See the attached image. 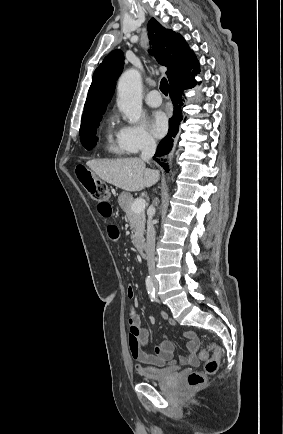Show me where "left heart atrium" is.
Returning a JSON list of instances; mask_svg holds the SVG:
<instances>
[{
  "instance_id": "1",
  "label": "left heart atrium",
  "mask_w": 283,
  "mask_h": 434,
  "mask_svg": "<svg viewBox=\"0 0 283 434\" xmlns=\"http://www.w3.org/2000/svg\"><path fill=\"white\" fill-rule=\"evenodd\" d=\"M167 127L168 121L166 115L162 111H155L150 120L152 133L157 137H161L166 133Z\"/></svg>"
}]
</instances>
